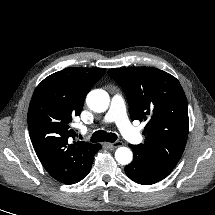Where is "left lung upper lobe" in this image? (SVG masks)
I'll list each match as a JSON object with an SVG mask.
<instances>
[{
	"instance_id": "5c2ea615",
	"label": "left lung upper lobe",
	"mask_w": 215,
	"mask_h": 215,
	"mask_svg": "<svg viewBox=\"0 0 215 215\" xmlns=\"http://www.w3.org/2000/svg\"><path fill=\"white\" fill-rule=\"evenodd\" d=\"M108 74L127 96L132 120L147 121L140 148L148 160L173 170L184 151L188 106L179 81L153 67L113 68Z\"/></svg>"
}]
</instances>
